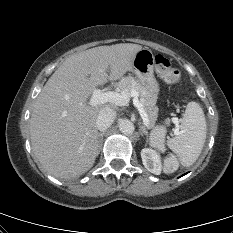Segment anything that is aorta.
Here are the masks:
<instances>
[{
    "mask_svg": "<svg viewBox=\"0 0 233 233\" xmlns=\"http://www.w3.org/2000/svg\"><path fill=\"white\" fill-rule=\"evenodd\" d=\"M119 129L123 134H132L134 132V124L128 120V119H124L120 122L119 124Z\"/></svg>",
    "mask_w": 233,
    "mask_h": 233,
    "instance_id": "obj_1",
    "label": "aorta"
}]
</instances>
